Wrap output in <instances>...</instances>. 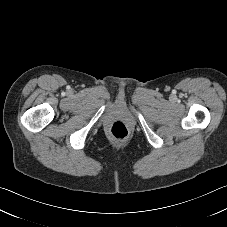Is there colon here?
Returning <instances> with one entry per match:
<instances>
[{
	"label": "colon",
	"instance_id": "colon-1",
	"mask_svg": "<svg viewBox=\"0 0 227 227\" xmlns=\"http://www.w3.org/2000/svg\"><path fill=\"white\" fill-rule=\"evenodd\" d=\"M111 134L116 139H125L128 136V129L122 122H115L111 127Z\"/></svg>",
	"mask_w": 227,
	"mask_h": 227
}]
</instances>
